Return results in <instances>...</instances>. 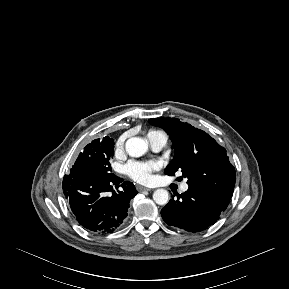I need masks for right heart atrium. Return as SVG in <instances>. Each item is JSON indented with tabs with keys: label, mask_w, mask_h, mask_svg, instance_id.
<instances>
[{
	"label": "right heart atrium",
	"mask_w": 289,
	"mask_h": 289,
	"mask_svg": "<svg viewBox=\"0 0 289 289\" xmlns=\"http://www.w3.org/2000/svg\"><path fill=\"white\" fill-rule=\"evenodd\" d=\"M123 142H124V137H121L117 142V147H121L123 145Z\"/></svg>",
	"instance_id": "obj_1"
}]
</instances>
